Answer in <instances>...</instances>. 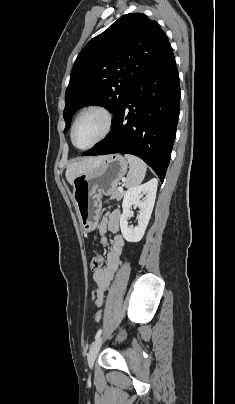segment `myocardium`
<instances>
[{
	"instance_id": "f54148a6",
	"label": "myocardium",
	"mask_w": 235,
	"mask_h": 404,
	"mask_svg": "<svg viewBox=\"0 0 235 404\" xmlns=\"http://www.w3.org/2000/svg\"><path fill=\"white\" fill-rule=\"evenodd\" d=\"M89 113H99L104 117V119H105L104 130H103L102 134L100 135V137L97 140H95L93 143H91L90 145H88L86 147H78L74 142L75 127H76L78 121L84 115L89 114ZM112 125H113V115L109 109H107L104 106H100V105L90 106V107L84 109L83 111H81L75 118V120L71 126V130H70L71 143L73 144V146L75 148H77L79 150H88V149L94 147L95 145H97L98 143H100L101 141H103L110 134V132L112 130Z\"/></svg>"
}]
</instances>
